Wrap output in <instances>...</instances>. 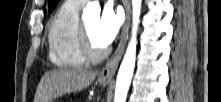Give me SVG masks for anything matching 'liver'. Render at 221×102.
<instances>
[{
    "label": "liver",
    "mask_w": 221,
    "mask_h": 102,
    "mask_svg": "<svg viewBox=\"0 0 221 102\" xmlns=\"http://www.w3.org/2000/svg\"><path fill=\"white\" fill-rule=\"evenodd\" d=\"M96 76V71L83 68H60L47 72L39 82L34 102H52L64 94L79 92L87 88Z\"/></svg>",
    "instance_id": "liver-1"
}]
</instances>
